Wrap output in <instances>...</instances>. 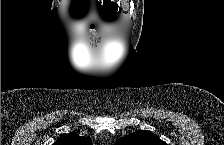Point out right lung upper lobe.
<instances>
[{
  "label": "right lung upper lobe",
  "mask_w": 224,
  "mask_h": 145,
  "mask_svg": "<svg viewBox=\"0 0 224 145\" xmlns=\"http://www.w3.org/2000/svg\"><path fill=\"white\" fill-rule=\"evenodd\" d=\"M54 145H90V140L87 137H80L72 133L63 134Z\"/></svg>",
  "instance_id": "obj_1"
}]
</instances>
